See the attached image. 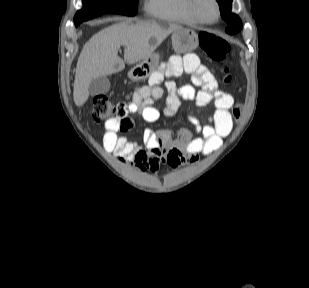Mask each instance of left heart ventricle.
I'll list each match as a JSON object with an SVG mask.
<instances>
[{"label":"left heart ventricle","mask_w":309,"mask_h":288,"mask_svg":"<svg viewBox=\"0 0 309 288\" xmlns=\"http://www.w3.org/2000/svg\"><path fill=\"white\" fill-rule=\"evenodd\" d=\"M198 10L200 15L206 20H214L217 17V9L212 0H199Z\"/></svg>","instance_id":"obj_1"}]
</instances>
